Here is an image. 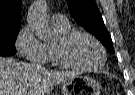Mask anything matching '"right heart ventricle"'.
<instances>
[{
  "label": "right heart ventricle",
  "mask_w": 135,
  "mask_h": 95,
  "mask_svg": "<svg viewBox=\"0 0 135 95\" xmlns=\"http://www.w3.org/2000/svg\"><path fill=\"white\" fill-rule=\"evenodd\" d=\"M52 26L54 30L57 32L59 37L71 31V26L69 25L68 22L63 25L52 24ZM46 49H47V58L51 60L54 64H58L54 57L53 44L47 45Z\"/></svg>",
  "instance_id": "e07e8e85"
}]
</instances>
